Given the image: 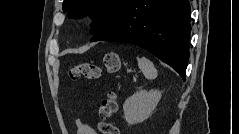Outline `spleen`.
Segmentation results:
<instances>
[{
    "label": "spleen",
    "mask_w": 239,
    "mask_h": 134,
    "mask_svg": "<svg viewBox=\"0 0 239 134\" xmlns=\"http://www.w3.org/2000/svg\"><path fill=\"white\" fill-rule=\"evenodd\" d=\"M138 66L142 70L144 76L147 79H155L157 77V69L155 68L154 64L147 58H137Z\"/></svg>",
    "instance_id": "obj_1"
}]
</instances>
